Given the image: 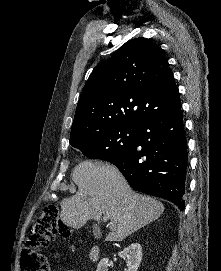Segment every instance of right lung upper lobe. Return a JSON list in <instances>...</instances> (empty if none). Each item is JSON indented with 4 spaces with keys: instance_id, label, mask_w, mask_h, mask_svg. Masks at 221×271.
<instances>
[{
    "instance_id": "cb5924a9",
    "label": "right lung upper lobe",
    "mask_w": 221,
    "mask_h": 271,
    "mask_svg": "<svg viewBox=\"0 0 221 271\" xmlns=\"http://www.w3.org/2000/svg\"><path fill=\"white\" fill-rule=\"evenodd\" d=\"M181 105L168 61L146 38L126 42L89 76L77 104L70 141L114 126H140Z\"/></svg>"
}]
</instances>
